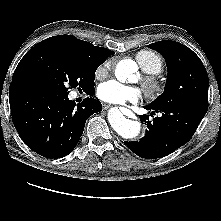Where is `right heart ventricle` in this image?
I'll return each mask as SVG.
<instances>
[{
    "label": "right heart ventricle",
    "mask_w": 221,
    "mask_h": 221,
    "mask_svg": "<svg viewBox=\"0 0 221 221\" xmlns=\"http://www.w3.org/2000/svg\"><path fill=\"white\" fill-rule=\"evenodd\" d=\"M135 59L147 74H158L163 69L162 59L152 51L141 50L135 55Z\"/></svg>",
    "instance_id": "obj_1"
}]
</instances>
